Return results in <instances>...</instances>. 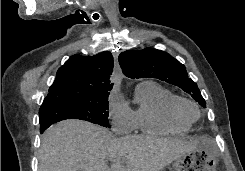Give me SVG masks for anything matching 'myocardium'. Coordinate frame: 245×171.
<instances>
[{"label":"myocardium","instance_id":"myocardium-1","mask_svg":"<svg viewBox=\"0 0 245 171\" xmlns=\"http://www.w3.org/2000/svg\"><path fill=\"white\" fill-rule=\"evenodd\" d=\"M191 106L193 107L196 112H197V117L195 119H189L188 117H186V115L183 112V108L184 106ZM169 110L170 113L178 120L188 123V124H192L194 122H196L199 118H200V109L198 107V105L186 98L183 97H176L174 98L170 105H169Z\"/></svg>","mask_w":245,"mask_h":171}]
</instances>
